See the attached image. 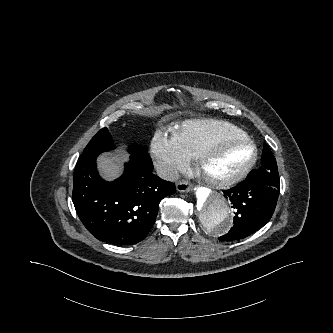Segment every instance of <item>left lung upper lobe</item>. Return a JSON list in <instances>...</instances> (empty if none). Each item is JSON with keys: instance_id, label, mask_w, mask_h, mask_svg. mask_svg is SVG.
<instances>
[{"instance_id": "5c2ea615", "label": "left lung upper lobe", "mask_w": 333, "mask_h": 333, "mask_svg": "<svg viewBox=\"0 0 333 333\" xmlns=\"http://www.w3.org/2000/svg\"><path fill=\"white\" fill-rule=\"evenodd\" d=\"M253 176L255 177H275L279 178L277 164L272 153L262 155L261 166L253 170Z\"/></svg>"}]
</instances>
